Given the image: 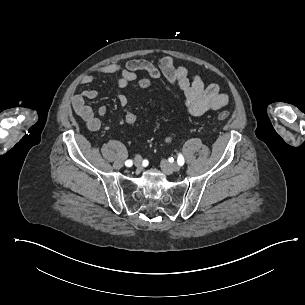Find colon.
<instances>
[{
    "instance_id": "1",
    "label": "colon",
    "mask_w": 305,
    "mask_h": 305,
    "mask_svg": "<svg viewBox=\"0 0 305 305\" xmlns=\"http://www.w3.org/2000/svg\"><path fill=\"white\" fill-rule=\"evenodd\" d=\"M154 83V80L152 78H144L140 81L139 86L141 89L146 90L150 87V85H152ZM229 116V112L227 111H220L217 113V118L220 120H224L227 119ZM137 114L134 112H128L125 116H124V121L127 124H134L137 122ZM164 141L166 143H170L171 142V136L170 135H166L164 138Z\"/></svg>"
}]
</instances>
